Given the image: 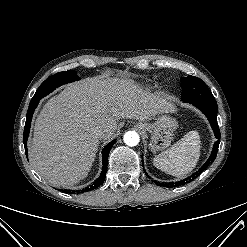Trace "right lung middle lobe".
<instances>
[{
	"mask_svg": "<svg viewBox=\"0 0 247 247\" xmlns=\"http://www.w3.org/2000/svg\"><path fill=\"white\" fill-rule=\"evenodd\" d=\"M78 79V76L73 70L63 71L52 75L40 85L31 101H39L57 87L77 81Z\"/></svg>",
	"mask_w": 247,
	"mask_h": 247,
	"instance_id": "dd1d6c3e",
	"label": "right lung middle lobe"
}]
</instances>
